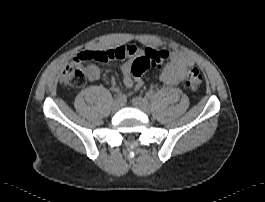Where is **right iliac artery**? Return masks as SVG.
Instances as JSON below:
<instances>
[{
	"instance_id": "82829eb1",
	"label": "right iliac artery",
	"mask_w": 265,
	"mask_h": 202,
	"mask_svg": "<svg viewBox=\"0 0 265 202\" xmlns=\"http://www.w3.org/2000/svg\"><path fill=\"white\" fill-rule=\"evenodd\" d=\"M116 99L119 100V101H122L123 100V96L121 94H119V95L116 96Z\"/></svg>"
}]
</instances>
